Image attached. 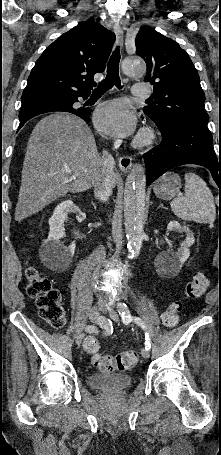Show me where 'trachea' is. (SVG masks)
I'll return each instance as SVG.
<instances>
[{
	"label": "trachea",
	"mask_w": 221,
	"mask_h": 455,
	"mask_svg": "<svg viewBox=\"0 0 221 455\" xmlns=\"http://www.w3.org/2000/svg\"><path fill=\"white\" fill-rule=\"evenodd\" d=\"M119 62L120 51L119 48H116L108 61L106 78L99 83L93 93H105L114 85L119 89L123 87L119 77Z\"/></svg>",
	"instance_id": "3493384b"
}]
</instances>
